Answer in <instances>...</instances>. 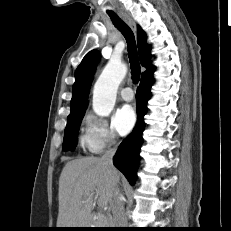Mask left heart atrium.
<instances>
[{
    "instance_id": "left-heart-atrium-1",
    "label": "left heart atrium",
    "mask_w": 231,
    "mask_h": 231,
    "mask_svg": "<svg viewBox=\"0 0 231 231\" xmlns=\"http://www.w3.org/2000/svg\"><path fill=\"white\" fill-rule=\"evenodd\" d=\"M136 116L133 108L124 105L114 115L113 123L117 132L121 135L128 134L135 124Z\"/></svg>"
}]
</instances>
